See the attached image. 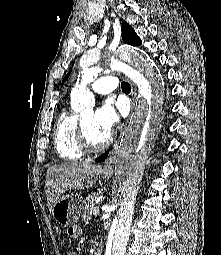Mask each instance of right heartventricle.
<instances>
[{
	"instance_id": "obj_1",
	"label": "right heart ventricle",
	"mask_w": 221,
	"mask_h": 255,
	"mask_svg": "<svg viewBox=\"0 0 221 255\" xmlns=\"http://www.w3.org/2000/svg\"><path fill=\"white\" fill-rule=\"evenodd\" d=\"M53 138L55 150L62 160L77 161L85 155L78 140V117L73 111L67 108L62 110L55 124Z\"/></svg>"
}]
</instances>
